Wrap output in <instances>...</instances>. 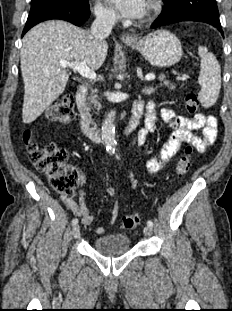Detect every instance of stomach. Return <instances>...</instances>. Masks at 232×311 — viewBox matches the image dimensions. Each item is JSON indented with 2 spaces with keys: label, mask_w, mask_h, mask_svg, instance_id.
Returning <instances> with one entry per match:
<instances>
[{
  "label": "stomach",
  "mask_w": 232,
  "mask_h": 311,
  "mask_svg": "<svg viewBox=\"0 0 232 311\" xmlns=\"http://www.w3.org/2000/svg\"><path fill=\"white\" fill-rule=\"evenodd\" d=\"M137 49L145 59L157 67H169L180 61L183 49L179 39L170 31L157 30L137 42H127Z\"/></svg>",
  "instance_id": "stomach-1"
}]
</instances>
